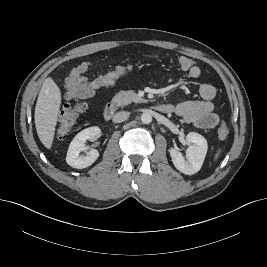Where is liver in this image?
I'll return each mask as SVG.
<instances>
[{
    "instance_id": "1",
    "label": "liver",
    "mask_w": 267,
    "mask_h": 267,
    "mask_svg": "<svg viewBox=\"0 0 267 267\" xmlns=\"http://www.w3.org/2000/svg\"><path fill=\"white\" fill-rule=\"evenodd\" d=\"M60 105L61 91L54 80L48 77L39 92L34 116L38 137L47 149L52 147Z\"/></svg>"
}]
</instances>
